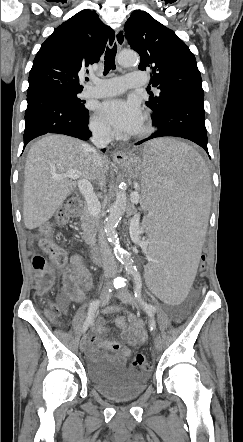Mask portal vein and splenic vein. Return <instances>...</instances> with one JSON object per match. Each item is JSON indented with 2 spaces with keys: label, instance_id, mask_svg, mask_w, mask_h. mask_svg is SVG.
Instances as JSON below:
<instances>
[{
  "label": "portal vein and splenic vein",
  "instance_id": "18ae733b",
  "mask_svg": "<svg viewBox=\"0 0 243 442\" xmlns=\"http://www.w3.org/2000/svg\"><path fill=\"white\" fill-rule=\"evenodd\" d=\"M80 177H81V172L78 170H70L64 174L53 176L55 180H61L63 178L79 179ZM78 188L85 198L89 212L93 216H96L100 211V204L93 193V188L91 183L86 179H80L78 180ZM132 196L135 199V201L139 200V194L137 192H133Z\"/></svg>",
  "mask_w": 243,
  "mask_h": 442
}]
</instances>
